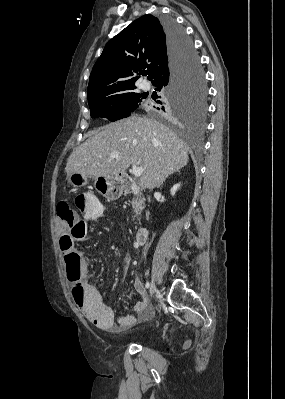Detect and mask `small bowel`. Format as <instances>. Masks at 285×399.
<instances>
[{
    "instance_id": "obj_1",
    "label": "small bowel",
    "mask_w": 285,
    "mask_h": 399,
    "mask_svg": "<svg viewBox=\"0 0 285 399\" xmlns=\"http://www.w3.org/2000/svg\"><path fill=\"white\" fill-rule=\"evenodd\" d=\"M87 203L81 213V229L84 235L88 231V223L99 219L104 210L103 204L92 194H87ZM68 272L77 271L81 277L84 287L82 298L76 300L75 289L70 286V294L75 304L82 310L84 316L97 327L112 332L125 331L138 323L149 320L153 315V310L148 304L146 294L141 280L138 277L134 279V286L141 299L133 306V314H123L116 318L112 308L107 305L102 298L101 293L87 280L88 264L82 255L72 263L66 261Z\"/></svg>"
}]
</instances>
